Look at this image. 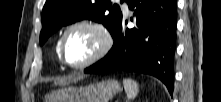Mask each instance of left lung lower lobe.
<instances>
[{"label":"left lung lower lobe","instance_id":"1","mask_svg":"<svg viewBox=\"0 0 221 102\" xmlns=\"http://www.w3.org/2000/svg\"><path fill=\"white\" fill-rule=\"evenodd\" d=\"M134 10L136 27L126 28L121 22L113 36L109 53L85 73L116 70L150 74L160 79L172 95L173 66L176 49L175 0H126ZM133 20V18L131 19Z\"/></svg>","mask_w":221,"mask_h":102}]
</instances>
